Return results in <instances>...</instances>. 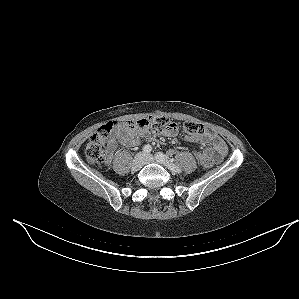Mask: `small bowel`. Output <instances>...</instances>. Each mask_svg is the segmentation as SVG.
<instances>
[{
    "label": "small bowel",
    "instance_id": "small-bowel-1",
    "mask_svg": "<svg viewBox=\"0 0 299 299\" xmlns=\"http://www.w3.org/2000/svg\"><path fill=\"white\" fill-rule=\"evenodd\" d=\"M164 134L173 136L176 132ZM141 137H145L148 140L153 139V135L147 129L131 128L127 125V122L121 123L118 127L117 138H112L109 142V151L105 163L109 165L112 162L113 151L116 147V139H119V141L126 147H135L140 144ZM186 140L192 143L210 144V147L195 154L196 159L200 163L203 160H210L213 163H218L227 154V145L224 140L216 133L205 128H202L199 133L187 136Z\"/></svg>",
    "mask_w": 299,
    "mask_h": 299
}]
</instances>
